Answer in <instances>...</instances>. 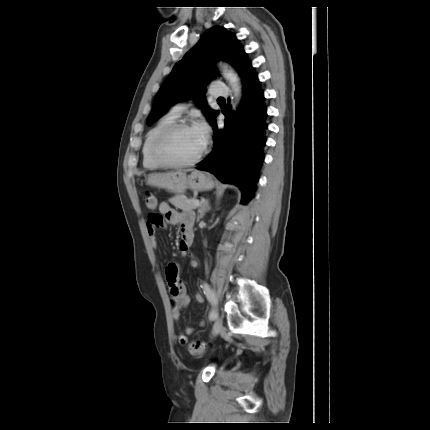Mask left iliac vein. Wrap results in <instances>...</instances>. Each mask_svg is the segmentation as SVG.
Wrapping results in <instances>:
<instances>
[{"instance_id":"obj_1","label":"left iliac vein","mask_w":430,"mask_h":430,"mask_svg":"<svg viewBox=\"0 0 430 430\" xmlns=\"http://www.w3.org/2000/svg\"><path fill=\"white\" fill-rule=\"evenodd\" d=\"M221 329H222V321L220 318H217L214 322V325H213L212 335L214 337L217 336L219 334V332L221 331Z\"/></svg>"}]
</instances>
